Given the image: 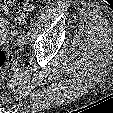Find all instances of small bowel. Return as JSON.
<instances>
[{
  "mask_svg": "<svg viewBox=\"0 0 113 113\" xmlns=\"http://www.w3.org/2000/svg\"><path fill=\"white\" fill-rule=\"evenodd\" d=\"M7 26V21L0 17V42H2L5 39V29Z\"/></svg>",
  "mask_w": 113,
  "mask_h": 113,
  "instance_id": "obj_1",
  "label": "small bowel"
}]
</instances>
